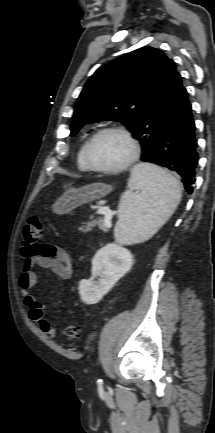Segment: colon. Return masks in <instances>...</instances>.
<instances>
[{"instance_id":"1","label":"colon","mask_w":215,"mask_h":433,"mask_svg":"<svg viewBox=\"0 0 215 433\" xmlns=\"http://www.w3.org/2000/svg\"><path fill=\"white\" fill-rule=\"evenodd\" d=\"M45 232V227L42 221L36 217H31L26 222L23 228V253L24 255H32L34 249L39 245L41 238ZM81 327L77 324L69 325L65 328L64 334L68 340L77 339L80 335Z\"/></svg>"}]
</instances>
